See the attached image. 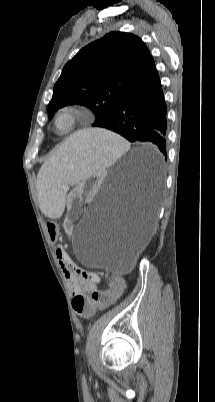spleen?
I'll use <instances>...</instances> for the list:
<instances>
[{"instance_id":"spleen-1","label":"spleen","mask_w":215,"mask_h":402,"mask_svg":"<svg viewBox=\"0 0 215 402\" xmlns=\"http://www.w3.org/2000/svg\"><path fill=\"white\" fill-rule=\"evenodd\" d=\"M128 149L124 139L104 128H79L41 169V210L49 217H59L65 208L63 186L78 183L99 170L105 175V168Z\"/></svg>"}]
</instances>
